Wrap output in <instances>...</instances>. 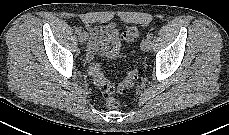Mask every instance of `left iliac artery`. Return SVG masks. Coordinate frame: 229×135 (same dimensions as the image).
I'll list each match as a JSON object with an SVG mask.
<instances>
[{
    "label": "left iliac artery",
    "instance_id": "left-iliac-artery-1",
    "mask_svg": "<svg viewBox=\"0 0 229 135\" xmlns=\"http://www.w3.org/2000/svg\"><path fill=\"white\" fill-rule=\"evenodd\" d=\"M147 38L148 39H152L153 38V33H148Z\"/></svg>",
    "mask_w": 229,
    "mask_h": 135
}]
</instances>
